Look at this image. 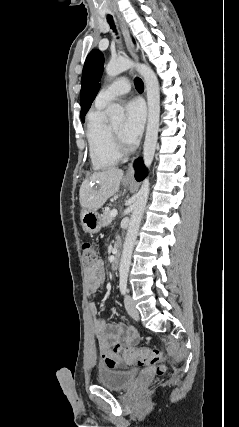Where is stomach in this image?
Instances as JSON below:
<instances>
[{
	"instance_id": "1",
	"label": "stomach",
	"mask_w": 239,
	"mask_h": 427,
	"mask_svg": "<svg viewBox=\"0 0 239 427\" xmlns=\"http://www.w3.org/2000/svg\"><path fill=\"white\" fill-rule=\"evenodd\" d=\"M124 185L131 186V183L124 182ZM81 223L86 232L90 234L98 233L103 226L102 215L97 210L83 209L81 212Z\"/></svg>"
}]
</instances>
